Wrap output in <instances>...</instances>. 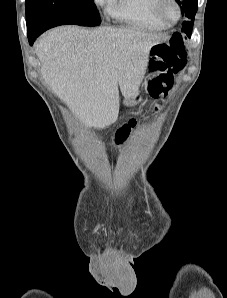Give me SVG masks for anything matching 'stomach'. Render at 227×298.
Returning <instances> with one entry per match:
<instances>
[{
	"mask_svg": "<svg viewBox=\"0 0 227 298\" xmlns=\"http://www.w3.org/2000/svg\"><path fill=\"white\" fill-rule=\"evenodd\" d=\"M157 70L153 67V65L149 66V74L148 79H152L156 76ZM142 100V93L138 91L133 97L125 99L124 104L127 106H134L138 104Z\"/></svg>",
	"mask_w": 227,
	"mask_h": 298,
	"instance_id": "1",
	"label": "stomach"
}]
</instances>
